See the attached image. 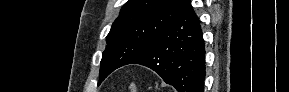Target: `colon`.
Masks as SVG:
<instances>
[{"label": "colon", "instance_id": "colon-1", "mask_svg": "<svg viewBox=\"0 0 289 92\" xmlns=\"http://www.w3.org/2000/svg\"><path fill=\"white\" fill-rule=\"evenodd\" d=\"M129 91L130 92H137L136 85L134 83L129 84Z\"/></svg>", "mask_w": 289, "mask_h": 92}]
</instances>
